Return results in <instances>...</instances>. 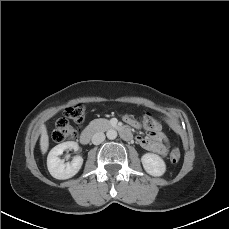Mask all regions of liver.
Wrapping results in <instances>:
<instances>
[{
    "instance_id": "1",
    "label": "liver",
    "mask_w": 229,
    "mask_h": 229,
    "mask_svg": "<svg viewBox=\"0 0 229 229\" xmlns=\"http://www.w3.org/2000/svg\"><path fill=\"white\" fill-rule=\"evenodd\" d=\"M40 133H41L40 149L42 154H45L49 147V137H48L46 126L44 124L40 126Z\"/></svg>"
}]
</instances>
